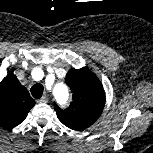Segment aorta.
<instances>
[{"mask_svg": "<svg viewBox=\"0 0 153 153\" xmlns=\"http://www.w3.org/2000/svg\"><path fill=\"white\" fill-rule=\"evenodd\" d=\"M54 93L58 100L65 101L68 97V88L64 84L59 83L55 86Z\"/></svg>", "mask_w": 153, "mask_h": 153, "instance_id": "762f6f07", "label": "aorta"}]
</instances>
